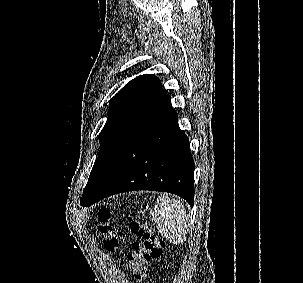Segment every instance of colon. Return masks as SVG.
Returning a JSON list of instances; mask_svg holds the SVG:
<instances>
[{
	"label": "colon",
	"mask_w": 303,
	"mask_h": 283,
	"mask_svg": "<svg viewBox=\"0 0 303 283\" xmlns=\"http://www.w3.org/2000/svg\"><path fill=\"white\" fill-rule=\"evenodd\" d=\"M113 214L111 208L103 207L96 215L97 231L109 250H117L123 238V233L112 221ZM129 228L138 237L128 253L129 268L132 278L137 283H145L149 275L147 264L162 255L165 243L155 229L145 221L129 219Z\"/></svg>",
	"instance_id": "colon-1"
}]
</instances>
